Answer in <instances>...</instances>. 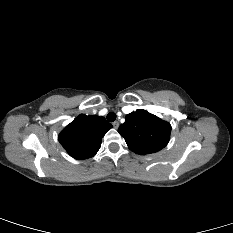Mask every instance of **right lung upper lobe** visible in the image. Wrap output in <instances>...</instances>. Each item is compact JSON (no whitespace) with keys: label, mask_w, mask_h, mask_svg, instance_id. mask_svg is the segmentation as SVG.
Instances as JSON below:
<instances>
[{"label":"right lung upper lobe","mask_w":233,"mask_h":233,"mask_svg":"<svg viewBox=\"0 0 233 233\" xmlns=\"http://www.w3.org/2000/svg\"><path fill=\"white\" fill-rule=\"evenodd\" d=\"M112 128L104 117L81 114L59 134L58 140L75 159L93 157L101 147L102 138Z\"/></svg>","instance_id":"obj_1"}]
</instances>
